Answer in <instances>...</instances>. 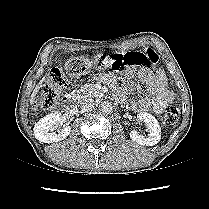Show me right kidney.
I'll use <instances>...</instances> for the list:
<instances>
[{
    "instance_id": "obj_1",
    "label": "right kidney",
    "mask_w": 209,
    "mask_h": 209,
    "mask_svg": "<svg viewBox=\"0 0 209 209\" xmlns=\"http://www.w3.org/2000/svg\"><path fill=\"white\" fill-rule=\"evenodd\" d=\"M61 122V114L54 112L41 118L34 126L35 137L43 143H53L64 140L71 132L70 126H64L58 133L53 132Z\"/></svg>"
}]
</instances>
